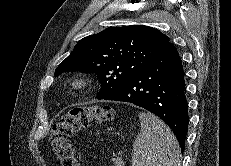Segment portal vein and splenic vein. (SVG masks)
I'll use <instances>...</instances> for the list:
<instances>
[{
  "instance_id": "obj_1",
  "label": "portal vein and splenic vein",
  "mask_w": 231,
  "mask_h": 166,
  "mask_svg": "<svg viewBox=\"0 0 231 166\" xmlns=\"http://www.w3.org/2000/svg\"><path fill=\"white\" fill-rule=\"evenodd\" d=\"M115 162H116L117 166H122L124 164L121 157L116 158Z\"/></svg>"
}]
</instances>
